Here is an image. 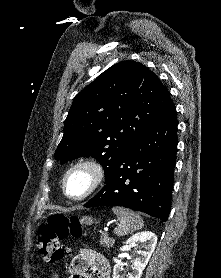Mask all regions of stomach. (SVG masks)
Returning <instances> with one entry per match:
<instances>
[{
	"label": "stomach",
	"mask_w": 221,
	"mask_h": 278,
	"mask_svg": "<svg viewBox=\"0 0 221 278\" xmlns=\"http://www.w3.org/2000/svg\"><path fill=\"white\" fill-rule=\"evenodd\" d=\"M80 222H81L82 224H85V225H90V224H92L93 219H92V217H89V216H83V217L80 219Z\"/></svg>",
	"instance_id": "stomach-1"
}]
</instances>
